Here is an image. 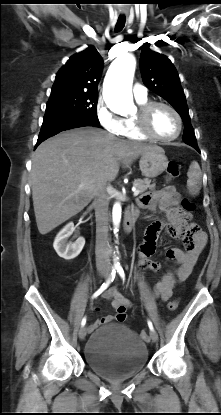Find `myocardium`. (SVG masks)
I'll return each instance as SVG.
<instances>
[{"mask_svg":"<svg viewBox=\"0 0 221 415\" xmlns=\"http://www.w3.org/2000/svg\"><path fill=\"white\" fill-rule=\"evenodd\" d=\"M158 106L167 108L175 116L178 123V129L175 135L165 138L158 136L153 132L150 124V119L153 110ZM135 122L141 134L151 140L158 142H172L176 140L181 135L183 129V120L180 113L171 104L164 101H149L141 105L135 116Z\"/></svg>","mask_w":221,"mask_h":415,"instance_id":"f54148a6","label":"myocardium"}]
</instances>
